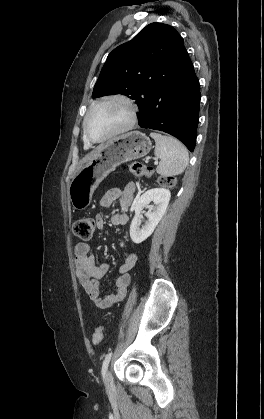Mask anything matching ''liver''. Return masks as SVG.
I'll use <instances>...</instances> for the list:
<instances>
[{
  "mask_svg": "<svg viewBox=\"0 0 264 419\" xmlns=\"http://www.w3.org/2000/svg\"><path fill=\"white\" fill-rule=\"evenodd\" d=\"M99 150V149H98ZM98 152V151H97ZM97 152H94L90 156L87 157L88 160L92 159L94 156H96Z\"/></svg>",
  "mask_w": 264,
  "mask_h": 419,
  "instance_id": "6515ba94",
  "label": "liver"
}]
</instances>
